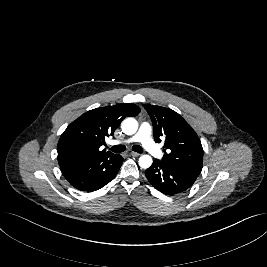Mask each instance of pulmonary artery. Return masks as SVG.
<instances>
[{
  "label": "pulmonary artery",
  "instance_id": "obj_1",
  "mask_svg": "<svg viewBox=\"0 0 267 267\" xmlns=\"http://www.w3.org/2000/svg\"><path fill=\"white\" fill-rule=\"evenodd\" d=\"M151 132H152V127L148 122H143L140 127L138 132L125 140L122 141H112V144H129L133 142H140L145 149L152 154L155 157H160L161 152L153 142L151 138Z\"/></svg>",
  "mask_w": 267,
  "mask_h": 267
}]
</instances>
